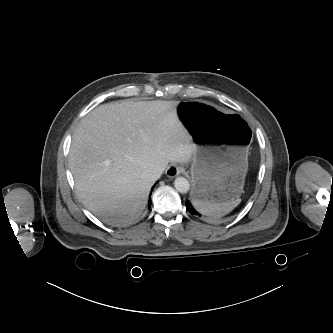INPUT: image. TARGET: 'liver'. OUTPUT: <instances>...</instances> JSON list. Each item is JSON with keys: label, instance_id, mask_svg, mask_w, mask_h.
I'll return each mask as SVG.
<instances>
[{"label": "liver", "instance_id": "6515ba94", "mask_svg": "<svg viewBox=\"0 0 333 333\" xmlns=\"http://www.w3.org/2000/svg\"><path fill=\"white\" fill-rule=\"evenodd\" d=\"M176 101L123 100L92 110L74 131L69 165L83 204L104 222L130 224L155 181L147 170L189 163L196 151Z\"/></svg>", "mask_w": 333, "mask_h": 333}]
</instances>
